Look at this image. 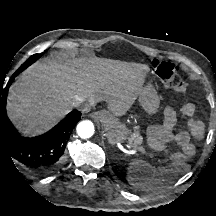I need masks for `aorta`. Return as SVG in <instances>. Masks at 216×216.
I'll list each match as a JSON object with an SVG mask.
<instances>
[{"label": "aorta", "instance_id": "1", "mask_svg": "<svg viewBox=\"0 0 216 216\" xmlns=\"http://www.w3.org/2000/svg\"><path fill=\"white\" fill-rule=\"evenodd\" d=\"M108 123L113 125H118L113 119H109ZM77 134L82 139H87L94 134V125L91 121L85 120L81 121L76 128Z\"/></svg>", "mask_w": 216, "mask_h": 216}]
</instances>
